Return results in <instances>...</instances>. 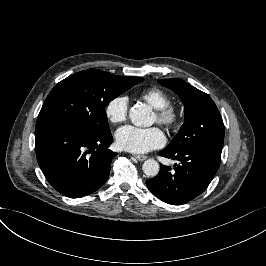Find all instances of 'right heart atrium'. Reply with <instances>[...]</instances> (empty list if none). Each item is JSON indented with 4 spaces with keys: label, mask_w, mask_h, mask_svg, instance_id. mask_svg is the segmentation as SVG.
<instances>
[{
    "label": "right heart atrium",
    "mask_w": 266,
    "mask_h": 266,
    "mask_svg": "<svg viewBox=\"0 0 266 266\" xmlns=\"http://www.w3.org/2000/svg\"><path fill=\"white\" fill-rule=\"evenodd\" d=\"M129 97L126 94L113 96L105 105V117L111 124L124 122L128 117Z\"/></svg>",
    "instance_id": "d8ad5b80"
}]
</instances>
